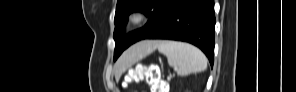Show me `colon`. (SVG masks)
Listing matches in <instances>:
<instances>
[{
    "label": "colon",
    "mask_w": 296,
    "mask_h": 92,
    "mask_svg": "<svg viewBox=\"0 0 296 92\" xmlns=\"http://www.w3.org/2000/svg\"><path fill=\"white\" fill-rule=\"evenodd\" d=\"M145 79L153 87L154 92L161 91L163 83L160 79L159 68L156 65L137 66L129 74V81Z\"/></svg>",
    "instance_id": "obj_1"
}]
</instances>
